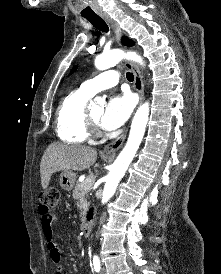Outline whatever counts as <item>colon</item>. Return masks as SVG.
Masks as SVG:
<instances>
[{
    "label": "colon",
    "mask_w": 221,
    "mask_h": 274,
    "mask_svg": "<svg viewBox=\"0 0 221 274\" xmlns=\"http://www.w3.org/2000/svg\"><path fill=\"white\" fill-rule=\"evenodd\" d=\"M42 204L54 208L60 203V192L57 188L51 187L44 190L40 196Z\"/></svg>",
    "instance_id": "5ec220e1"
}]
</instances>
